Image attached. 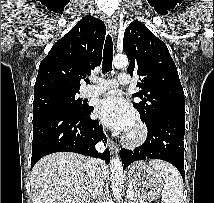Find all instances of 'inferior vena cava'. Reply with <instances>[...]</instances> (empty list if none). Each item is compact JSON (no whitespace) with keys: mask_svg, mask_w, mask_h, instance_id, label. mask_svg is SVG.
<instances>
[{"mask_svg":"<svg viewBox=\"0 0 214 203\" xmlns=\"http://www.w3.org/2000/svg\"><path fill=\"white\" fill-rule=\"evenodd\" d=\"M96 149L99 152L104 151V145L102 142L96 145ZM89 167V181H90V191L91 199L95 200L98 195L101 194L104 185V179L106 175V167L101 159L90 158L87 161ZM93 203V202H92Z\"/></svg>","mask_w":214,"mask_h":203,"instance_id":"obj_1","label":"inferior vena cava"}]
</instances>
